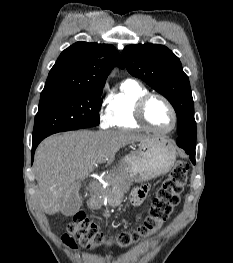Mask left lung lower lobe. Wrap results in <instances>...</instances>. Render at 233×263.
Wrapping results in <instances>:
<instances>
[{
    "label": "left lung lower lobe",
    "mask_w": 233,
    "mask_h": 263,
    "mask_svg": "<svg viewBox=\"0 0 233 263\" xmlns=\"http://www.w3.org/2000/svg\"><path fill=\"white\" fill-rule=\"evenodd\" d=\"M177 145L185 150L187 154L190 155L191 161L195 164V146L190 145L189 143L177 142Z\"/></svg>",
    "instance_id": "1"
}]
</instances>
